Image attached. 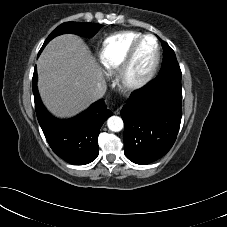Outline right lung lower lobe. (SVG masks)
<instances>
[{
    "instance_id": "1",
    "label": "right lung lower lobe",
    "mask_w": 227,
    "mask_h": 227,
    "mask_svg": "<svg viewBox=\"0 0 227 227\" xmlns=\"http://www.w3.org/2000/svg\"><path fill=\"white\" fill-rule=\"evenodd\" d=\"M32 81L37 118L52 150L74 165H84L95 160L99 153L100 128L112 115L106 108L104 99L95 102L72 119L59 120L54 118L41 102L36 69Z\"/></svg>"
}]
</instances>
